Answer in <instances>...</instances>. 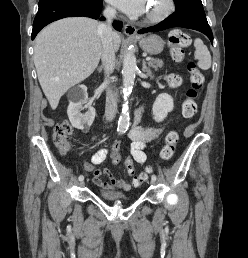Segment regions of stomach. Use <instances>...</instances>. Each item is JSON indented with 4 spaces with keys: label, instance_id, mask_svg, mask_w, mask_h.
Returning a JSON list of instances; mask_svg holds the SVG:
<instances>
[{
    "label": "stomach",
    "instance_id": "0dacf381",
    "mask_svg": "<svg viewBox=\"0 0 248 258\" xmlns=\"http://www.w3.org/2000/svg\"><path fill=\"white\" fill-rule=\"evenodd\" d=\"M143 51L151 55H157L164 49V41L158 35H149L139 40Z\"/></svg>",
    "mask_w": 248,
    "mask_h": 258
}]
</instances>
